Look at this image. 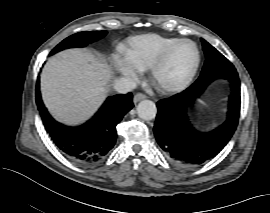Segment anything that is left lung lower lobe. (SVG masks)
<instances>
[{"label":"left lung lower lobe","mask_w":270,"mask_h":213,"mask_svg":"<svg viewBox=\"0 0 270 213\" xmlns=\"http://www.w3.org/2000/svg\"><path fill=\"white\" fill-rule=\"evenodd\" d=\"M215 78L227 79L232 85L228 104L230 116L213 131L200 132L189 120L188 107ZM240 102V81L234 67L206 82L192 84L175 96L160 100L157 103L154 134L168 160L179 167L191 168L214 158L235 132L240 115Z\"/></svg>","instance_id":"1"}]
</instances>
